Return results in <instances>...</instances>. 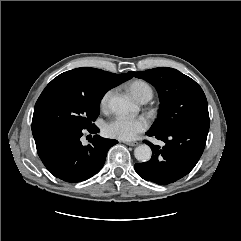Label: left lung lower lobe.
<instances>
[{
	"mask_svg": "<svg viewBox=\"0 0 241 241\" xmlns=\"http://www.w3.org/2000/svg\"><path fill=\"white\" fill-rule=\"evenodd\" d=\"M209 122H196L167 133L148 131L165 142V146L153 145L152 157L144 163H136L135 171L146 181L167 185L186 176L197 164L205 148Z\"/></svg>",
	"mask_w": 241,
	"mask_h": 241,
	"instance_id": "1",
	"label": "left lung lower lobe"
}]
</instances>
